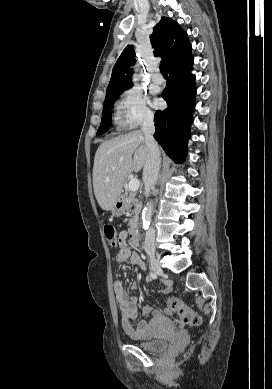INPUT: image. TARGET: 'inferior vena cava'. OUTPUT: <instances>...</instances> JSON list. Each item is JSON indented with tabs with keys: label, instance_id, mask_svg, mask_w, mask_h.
Segmentation results:
<instances>
[{
	"label": "inferior vena cava",
	"instance_id": "1",
	"mask_svg": "<svg viewBox=\"0 0 272 389\" xmlns=\"http://www.w3.org/2000/svg\"><path fill=\"white\" fill-rule=\"evenodd\" d=\"M142 132L145 136V142L148 149V156L143 168V182L145 193L148 196L150 190L158 180L161 158L160 150L153 137L155 132L154 119L152 116L147 117L142 124ZM144 250L147 253H155V230L150 227L145 235Z\"/></svg>",
	"mask_w": 272,
	"mask_h": 389
}]
</instances>
